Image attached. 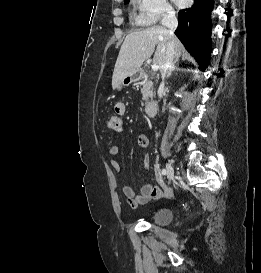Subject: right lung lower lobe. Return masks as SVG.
<instances>
[{
    "label": "right lung lower lobe",
    "mask_w": 261,
    "mask_h": 273,
    "mask_svg": "<svg viewBox=\"0 0 261 273\" xmlns=\"http://www.w3.org/2000/svg\"><path fill=\"white\" fill-rule=\"evenodd\" d=\"M213 0H194L191 8L180 10L176 36L195 57L201 70L209 64L211 53V21Z\"/></svg>",
    "instance_id": "1"
}]
</instances>
